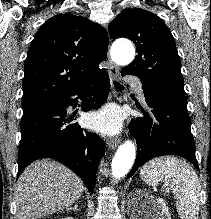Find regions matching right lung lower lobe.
Masks as SVG:
<instances>
[{
	"label": "right lung lower lobe",
	"instance_id": "obj_1",
	"mask_svg": "<svg viewBox=\"0 0 211 219\" xmlns=\"http://www.w3.org/2000/svg\"><path fill=\"white\" fill-rule=\"evenodd\" d=\"M109 90V77L104 70L64 96L23 113L17 178L34 160L53 158L80 176L93 193L105 143L95 133L71 123L73 118L67 116L66 109L76 107L78 100L71 98L75 95L86 100L82 105L84 111L97 109L106 101Z\"/></svg>",
	"mask_w": 211,
	"mask_h": 219
}]
</instances>
